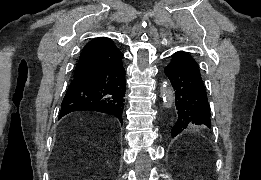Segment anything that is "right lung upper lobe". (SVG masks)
<instances>
[{"label": "right lung upper lobe", "mask_w": 261, "mask_h": 180, "mask_svg": "<svg viewBox=\"0 0 261 180\" xmlns=\"http://www.w3.org/2000/svg\"><path fill=\"white\" fill-rule=\"evenodd\" d=\"M122 57L123 54L111 39L105 37L93 39L82 49L74 70L73 80L93 68L118 64L122 61Z\"/></svg>", "instance_id": "obj_1"}]
</instances>
